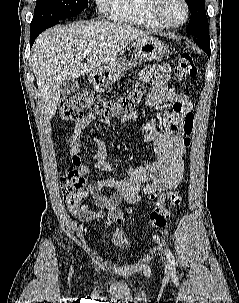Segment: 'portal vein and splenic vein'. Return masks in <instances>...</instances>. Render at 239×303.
Instances as JSON below:
<instances>
[{"mask_svg":"<svg viewBox=\"0 0 239 303\" xmlns=\"http://www.w3.org/2000/svg\"><path fill=\"white\" fill-rule=\"evenodd\" d=\"M90 53V51H86L85 53H84V56H86L87 54H89Z\"/></svg>","mask_w":239,"mask_h":303,"instance_id":"portal-vein-and-splenic-vein-1","label":"portal vein and splenic vein"}]
</instances>
